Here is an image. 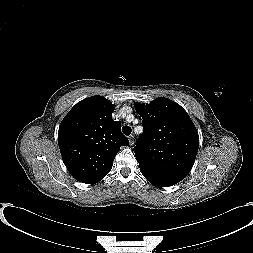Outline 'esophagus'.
Segmentation results:
<instances>
[{
	"instance_id": "obj_1",
	"label": "esophagus",
	"mask_w": 253,
	"mask_h": 253,
	"mask_svg": "<svg viewBox=\"0 0 253 253\" xmlns=\"http://www.w3.org/2000/svg\"><path fill=\"white\" fill-rule=\"evenodd\" d=\"M128 138H129L130 146H132L134 144V136L130 135Z\"/></svg>"
}]
</instances>
